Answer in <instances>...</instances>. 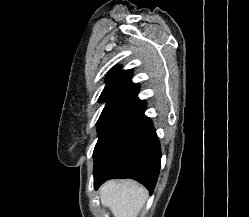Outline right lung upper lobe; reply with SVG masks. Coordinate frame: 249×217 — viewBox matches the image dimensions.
I'll return each instance as SVG.
<instances>
[{
	"label": "right lung upper lobe",
	"mask_w": 249,
	"mask_h": 217,
	"mask_svg": "<svg viewBox=\"0 0 249 217\" xmlns=\"http://www.w3.org/2000/svg\"><path fill=\"white\" fill-rule=\"evenodd\" d=\"M131 77V70H120L119 66H115L106 77V86L100 97L115 94L121 96L129 92L137 86V84L131 82Z\"/></svg>",
	"instance_id": "obj_1"
}]
</instances>
